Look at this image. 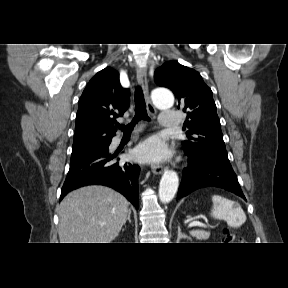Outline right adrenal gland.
<instances>
[{
  "label": "right adrenal gland",
  "instance_id": "obj_1",
  "mask_svg": "<svg viewBox=\"0 0 288 288\" xmlns=\"http://www.w3.org/2000/svg\"><path fill=\"white\" fill-rule=\"evenodd\" d=\"M130 215H131V211H129L128 216H127V220L129 221V223H131Z\"/></svg>",
  "mask_w": 288,
  "mask_h": 288
}]
</instances>
